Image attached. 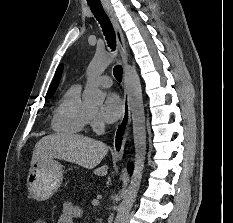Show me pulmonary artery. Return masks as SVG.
Listing matches in <instances>:
<instances>
[{
    "instance_id": "pulmonary-artery-1",
    "label": "pulmonary artery",
    "mask_w": 233,
    "mask_h": 223,
    "mask_svg": "<svg viewBox=\"0 0 233 223\" xmlns=\"http://www.w3.org/2000/svg\"><path fill=\"white\" fill-rule=\"evenodd\" d=\"M111 82H112V80L109 76H102L100 78V83L103 87H109Z\"/></svg>"
}]
</instances>
